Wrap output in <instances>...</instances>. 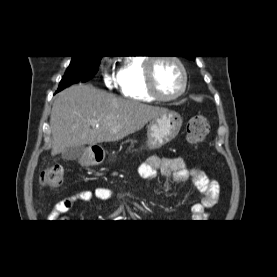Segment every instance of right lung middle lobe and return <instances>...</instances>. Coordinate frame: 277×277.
<instances>
[{
  "instance_id": "obj_1",
  "label": "right lung middle lobe",
  "mask_w": 277,
  "mask_h": 277,
  "mask_svg": "<svg viewBox=\"0 0 277 277\" xmlns=\"http://www.w3.org/2000/svg\"><path fill=\"white\" fill-rule=\"evenodd\" d=\"M102 56L76 57L73 56L65 75L59 83L58 91L77 82H85L92 78L98 71Z\"/></svg>"
}]
</instances>
